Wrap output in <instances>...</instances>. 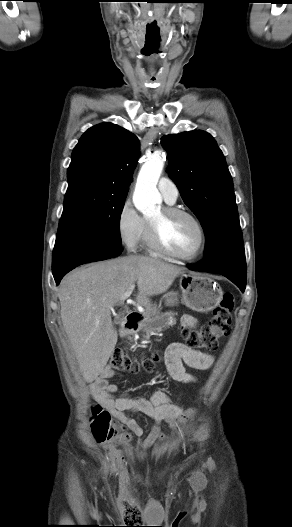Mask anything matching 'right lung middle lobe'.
<instances>
[{
	"label": "right lung middle lobe",
	"mask_w": 292,
	"mask_h": 527,
	"mask_svg": "<svg viewBox=\"0 0 292 527\" xmlns=\"http://www.w3.org/2000/svg\"><path fill=\"white\" fill-rule=\"evenodd\" d=\"M126 195L90 186H68L57 235L98 236L121 245L119 222Z\"/></svg>",
	"instance_id": "1"
}]
</instances>
